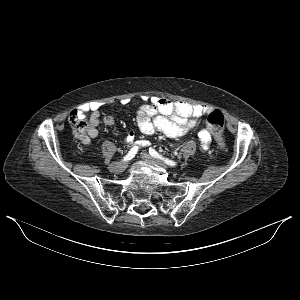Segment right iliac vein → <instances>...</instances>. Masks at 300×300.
I'll return each mask as SVG.
<instances>
[{
	"mask_svg": "<svg viewBox=\"0 0 300 300\" xmlns=\"http://www.w3.org/2000/svg\"><path fill=\"white\" fill-rule=\"evenodd\" d=\"M127 163L125 161H121V162H114L112 163L109 168L110 170L116 172V173H120L123 172L124 169L126 168Z\"/></svg>",
	"mask_w": 300,
	"mask_h": 300,
	"instance_id": "63e3f726",
	"label": "right iliac vein"
}]
</instances>
